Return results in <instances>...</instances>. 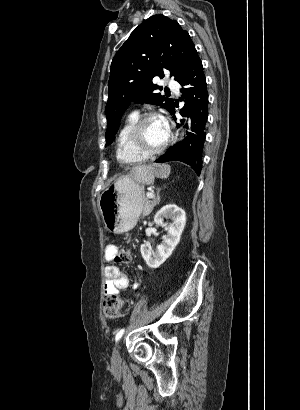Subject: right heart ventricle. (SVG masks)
Here are the masks:
<instances>
[{"label":"right heart ventricle","mask_w":300,"mask_h":410,"mask_svg":"<svg viewBox=\"0 0 300 410\" xmlns=\"http://www.w3.org/2000/svg\"><path fill=\"white\" fill-rule=\"evenodd\" d=\"M138 118L137 112L130 113L124 120L116 138V157L120 162L136 164L146 160L147 157L138 153L129 140L130 130Z\"/></svg>","instance_id":"obj_1"}]
</instances>
